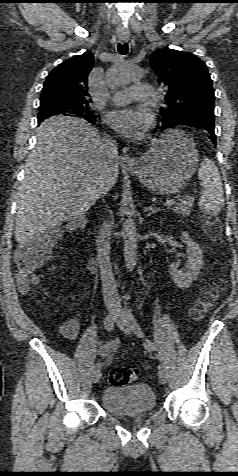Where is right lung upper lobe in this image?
Instances as JSON below:
<instances>
[{"label": "right lung upper lobe", "instance_id": "cb5924a9", "mask_svg": "<svg viewBox=\"0 0 238 476\" xmlns=\"http://www.w3.org/2000/svg\"><path fill=\"white\" fill-rule=\"evenodd\" d=\"M93 55L85 52L74 56L53 69L44 83L41 102L52 101L68 106H88V74Z\"/></svg>", "mask_w": 238, "mask_h": 476}]
</instances>
